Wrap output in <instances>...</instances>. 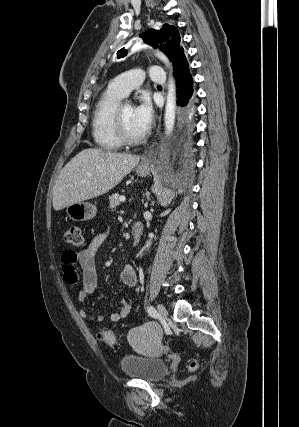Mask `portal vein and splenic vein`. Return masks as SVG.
Returning <instances> with one entry per match:
<instances>
[{
	"instance_id": "obj_1",
	"label": "portal vein and splenic vein",
	"mask_w": 299,
	"mask_h": 427,
	"mask_svg": "<svg viewBox=\"0 0 299 427\" xmlns=\"http://www.w3.org/2000/svg\"><path fill=\"white\" fill-rule=\"evenodd\" d=\"M119 200L121 201V202H125V197L124 196H121V197H119Z\"/></svg>"
}]
</instances>
